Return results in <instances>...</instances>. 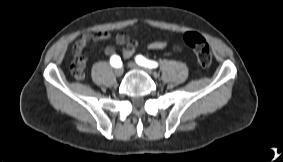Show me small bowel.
Instances as JSON below:
<instances>
[{
    "instance_id": "small-bowel-1",
    "label": "small bowel",
    "mask_w": 283,
    "mask_h": 162,
    "mask_svg": "<svg viewBox=\"0 0 283 162\" xmlns=\"http://www.w3.org/2000/svg\"><path fill=\"white\" fill-rule=\"evenodd\" d=\"M113 39L116 44L123 46V51H122V56L124 58H129L131 57L138 45L137 41L130 38L127 34L125 33H119L115 35L114 37L111 36L110 33L106 31H98L95 33H86L84 34L79 40L76 41V43L73 46L72 53H73V63L71 66V70L73 68L79 67L82 70H84L86 63H87V58L82 56L83 50L87 47L92 42H102V41H108ZM168 46V42L164 40H157V41H152L146 45L147 49L150 50H161L164 49ZM174 51L179 52L180 48L179 47H174ZM105 54L107 56H113L115 54V49L112 46H107L105 48Z\"/></svg>"
}]
</instances>
